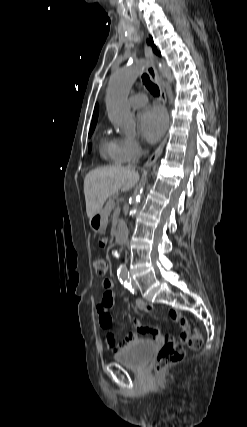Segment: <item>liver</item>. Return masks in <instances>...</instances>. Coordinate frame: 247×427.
<instances>
[{
    "mask_svg": "<svg viewBox=\"0 0 247 427\" xmlns=\"http://www.w3.org/2000/svg\"><path fill=\"white\" fill-rule=\"evenodd\" d=\"M139 180L133 166H106L88 172L84 179L86 213L89 219L102 210L106 199L118 192L129 191Z\"/></svg>",
    "mask_w": 247,
    "mask_h": 427,
    "instance_id": "liver-1",
    "label": "liver"
}]
</instances>
